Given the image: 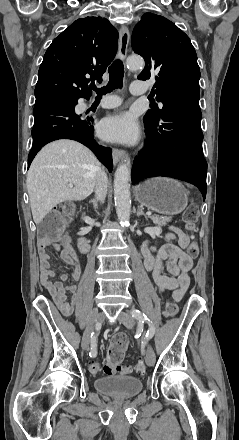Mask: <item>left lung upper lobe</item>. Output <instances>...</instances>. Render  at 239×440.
<instances>
[{"label": "left lung upper lobe", "instance_id": "5c2ea615", "mask_svg": "<svg viewBox=\"0 0 239 440\" xmlns=\"http://www.w3.org/2000/svg\"><path fill=\"white\" fill-rule=\"evenodd\" d=\"M132 48L145 59V68L138 79L155 76L154 94L163 103L159 109L151 104L144 117L146 122L156 123L162 112L182 102L199 104L200 69L197 55L189 37L173 22L163 16L145 13L135 26Z\"/></svg>", "mask_w": 239, "mask_h": 440}]
</instances>
